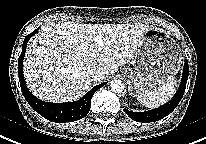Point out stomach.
Wrapping results in <instances>:
<instances>
[{"label":"stomach","mask_w":206,"mask_h":144,"mask_svg":"<svg viewBox=\"0 0 206 144\" xmlns=\"http://www.w3.org/2000/svg\"><path fill=\"white\" fill-rule=\"evenodd\" d=\"M179 48L169 36L157 28H148L134 58L124 68L128 91L134 97L161 87L180 69Z\"/></svg>","instance_id":"stomach-1"}]
</instances>
